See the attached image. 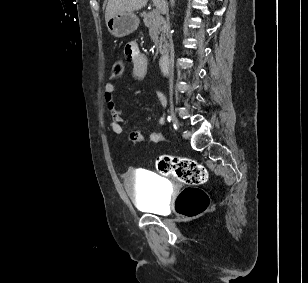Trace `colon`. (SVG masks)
<instances>
[{
    "label": "colon",
    "mask_w": 308,
    "mask_h": 283,
    "mask_svg": "<svg viewBox=\"0 0 308 283\" xmlns=\"http://www.w3.org/2000/svg\"><path fill=\"white\" fill-rule=\"evenodd\" d=\"M124 63L116 61L113 64V76H121ZM158 171L165 176H172L187 186L181 190L176 199V210L186 217H196L209 206L206 193L196 186L208 179L206 169L197 161L171 155H162L156 161Z\"/></svg>",
    "instance_id": "1"
}]
</instances>
